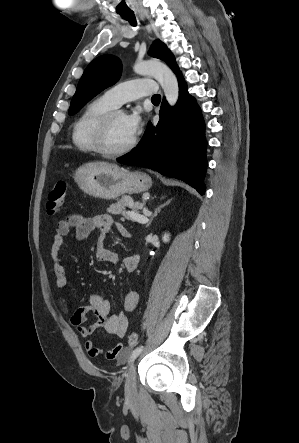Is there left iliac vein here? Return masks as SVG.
<instances>
[{
  "mask_svg": "<svg viewBox=\"0 0 299 443\" xmlns=\"http://www.w3.org/2000/svg\"><path fill=\"white\" fill-rule=\"evenodd\" d=\"M125 395L128 399L136 395V367L134 363H132L128 369L125 381Z\"/></svg>",
  "mask_w": 299,
  "mask_h": 443,
  "instance_id": "obj_1",
  "label": "left iliac vein"
}]
</instances>
